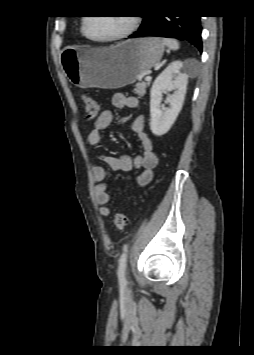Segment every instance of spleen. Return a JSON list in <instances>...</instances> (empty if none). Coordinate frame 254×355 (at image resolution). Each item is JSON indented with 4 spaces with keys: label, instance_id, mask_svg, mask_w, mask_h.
Masks as SVG:
<instances>
[{
    "label": "spleen",
    "instance_id": "3e777b00",
    "mask_svg": "<svg viewBox=\"0 0 254 355\" xmlns=\"http://www.w3.org/2000/svg\"><path fill=\"white\" fill-rule=\"evenodd\" d=\"M163 42L171 50L179 49V42L177 40H175V39L164 38Z\"/></svg>",
    "mask_w": 254,
    "mask_h": 355
}]
</instances>
